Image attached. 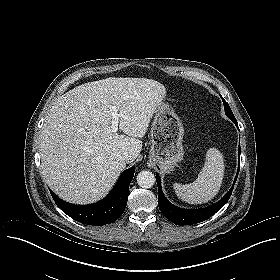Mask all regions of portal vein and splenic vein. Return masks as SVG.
I'll return each instance as SVG.
<instances>
[{"mask_svg": "<svg viewBox=\"0 0 280 280\" xmlns=\"http://www.w3.org/2000/svg\"><path fill=\"white\" fill-rule=\"evenodd\" d=\"M110 112L112 115L111 130L116 133L118 131L119 114L116 106L110 107Z\"/></svg>", "mask_w": 280, "mask_h": 280, "instance_id": "obj_1", "label": "portal vein and splenic vein"}]
</instances>
